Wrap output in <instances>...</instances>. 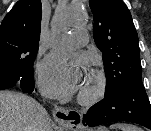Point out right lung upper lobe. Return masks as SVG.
I'll return each mask as SVG.
<instances>
[{"label": "right lung upper lobe", "mask_w": 151, "mask_h": 131, "mask_svg": "<svg viewBox=\"0 0 151 131\" xmlns=\"http://www.w3.org/2000/svg\"><path fill=\"white\" fill-rule=\"evenodd\" d=\"M41 16L40 0H19L0 25V52L18 46L37 53Z\"/></svg>", "instance_id": "right-lung-upper-lobe-1"}]
</instances>
